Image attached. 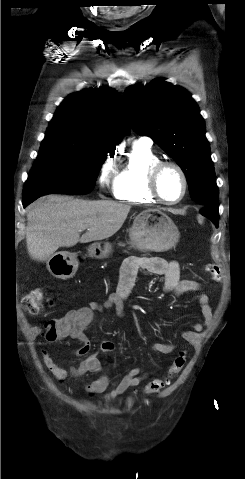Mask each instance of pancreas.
Instances as JSON below:
<instances>
[{"label": "pancreas", "instance_id": "cf45deb5", "mask_svg": "<svg viewBox=\"0 0 245 479\" xmlns=\"http://www.w3.org/2000/svg\"><path fill=\"white\" fill-rule=\"evenodd\" d=\"M119 246H125L124 244L119 243Z\"/></svg>", "mask_w": 245, "mask_h": 479}]
</instances>
